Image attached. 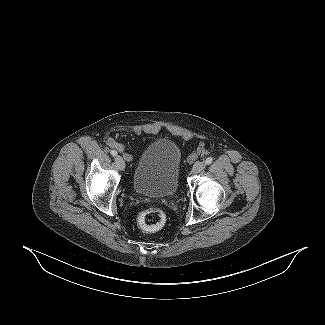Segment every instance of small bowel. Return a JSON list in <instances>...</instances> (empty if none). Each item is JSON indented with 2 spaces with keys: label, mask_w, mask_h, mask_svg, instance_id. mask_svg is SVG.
Returning <instances> with one entry per match:
<instances>
[{
  "label": "small bowel",
  "mask_w": 325,
  "mask_h": 325,
  "mask_svg": "<svg viewBox=\"0 0 325 325\" xmlns=\"http://www.w3.org/2000/svg\"><path fill=\"white\" fill-rule=\"evenodd\" d=\"M107 145L111 148H114L116 150H118L119 152H121L123 154V157L126 161H131L132 160V155L129 152H126L124 149V145L122 143H120L119 141L113 139V138H109L107 140ZM194 157V155L192 156Z\"/></svg>",
  "instance_id": "c3829d8e"
}]
</instances>
